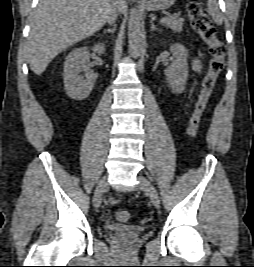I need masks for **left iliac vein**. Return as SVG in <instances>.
I'll list each match as a JSON object with an SVG mask.
<instances>
[{"label":"left iliac vein","instance_id":"1","mask_svg":"<svg viewBox=\"0 0 254 267\" xmlns=\"http://www.w3.org/2000/svg\"><path fill=\"white\" fill-rule=\"evenodd\" d=\"M138 181H139V187L148 193L151 199V202L156 208H158L160 204V200H159L158 192L155 189V187L143 175L138 176Z\"/></svg>","mask_w":254,"mask_h":267}]
</instances>
